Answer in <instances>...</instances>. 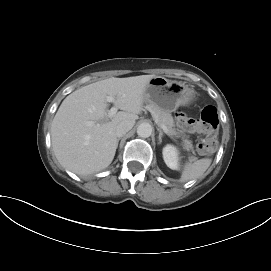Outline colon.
<instances>
[{
    "label": "colon",
    "instance_id": "colon-1",
    "mask_svg": "<svg viewBox=\"0 0 271 271\" xmlns=\"http://www.w3.org/2000/svg\"><path fill=\"white\" fill-rule=\"evenodd\" d=\"M176 122L186 132L204 134V137L197 145L201 154L208 155L216 149L219 119L215 107L206 106L203 108L198 119L190 118L184 112H178Z\"/></svg>",
    "mask_w": 271,
    "mask_h": 271
}]
</instances>
